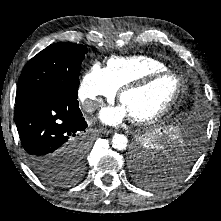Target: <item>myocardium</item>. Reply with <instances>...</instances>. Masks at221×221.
Segmentation results:
<instances>
[{"label": "myocardium", "instance_id": "myocardium-1", "mask_svg": "<svg viewBox=\"0 0 221 221\" xmlns=\"http://www.w3.org/2000/svg\"><path fill=\"white\" fill-rule=\"evenodd\" d=\"M164 76L174 77L176 84H177L175 93H174L173 97L171 98V100L164 106V108H162L159 112H157L156 114H154L150 117L130 118L132 123H134L136 125H150V124H154L156 122H159L162 118H164L173 109V107L175 106V104L177 103V101L181 95V92L183 89L182 79L179 77L178 74H176L175 72H173L171 70L157 71V72L149 73V74H147L137 80L128 82V83L124 84L119 89L118 99L121 102L122 96L125 93H127L129 91L144 88L147 85H149L151 82H153L154 80L164 77Z\"/></svg>", "mask_w": 221, "mask_h": 221}]
</instances>
